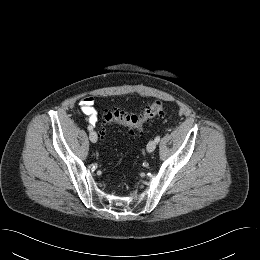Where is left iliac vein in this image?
I'll list each match as a JSON object with an SVG mask.
<instances>
[{
    "label": "left iliac vein",
    "mask_w": 260,
    "mask_h": 260,
    "mask_svg": "<svg viewBox=\"0 0 260 260\" xmlns=\"http://www.w3.org/2000/svg\"><path fill=\"white\" fill-rule=\"evenodd\" d=\"M156 145H157V143L155 142V140L149 141V143L147 144V151L149 153L153 152L156 148Z\"/></svg>",
    "instance_id": "4c4485c4"
}]
</instances>
